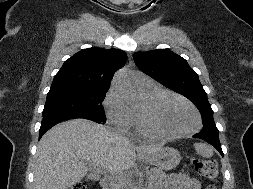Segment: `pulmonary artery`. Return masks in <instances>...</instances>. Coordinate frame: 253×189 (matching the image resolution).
<instances>
[{"label": "pulmonary artery", "mask_w": 253, "mask_h": 189, "mask_svg": "<svg viewBox=\"0 0 253 189\" xmlns=\"http://www.w3.org/2000/svg\"><path fill=\"white\" fill-rule=\"evenodd\" d=\"M141 83L142 84H152V82L150 80H145V79H143Z\"/></svg>", "instance_id": "1"}]
</instances>
